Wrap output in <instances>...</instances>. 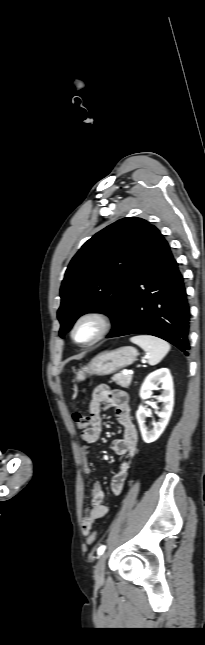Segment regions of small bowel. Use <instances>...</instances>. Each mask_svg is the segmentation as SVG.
<instances>
[{
    "instance_id": "1",
    "label": "small bowel",
    "mask_w": 205,
    "mask_h": 645,
    "mask_svg": "<svg viewBox=\"0 0 205 645\" xmlns=\"http://www.w3.org/2000/svg\"><path fill=\"white\" fill-rule=\"evenodd\" d=\"M104 403L114 407L115 417L122 429V438L115 440L112 445L114 452L120 456L121 460L112 476L110 484L112 493L119 495L127 479L130 463L137 452L138 434L131 419L128 395L124 391L114 390L106 384H101L93 390L89 404L90 426L82 434V439L88 445L96 443L101 435V406ZM80 456L85 473H92V464L88 457L87 446L80 448ZM104 500L105 493L103 489L98 483H93L90 491V505L84 511L82 521V532L84 535H88L94 524L107 515L108 508L104 504Z\"/></svg>"
}]
</instances>
